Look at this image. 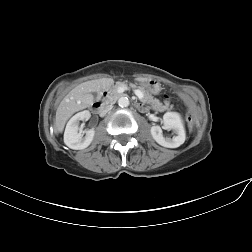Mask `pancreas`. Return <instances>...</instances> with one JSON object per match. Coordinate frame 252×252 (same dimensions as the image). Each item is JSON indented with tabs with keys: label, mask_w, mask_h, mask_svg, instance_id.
Segmentation results:
<instances>
[{
	"label": "pancreas",
	"mask_w": 252,
	"mask_h": 252,
	"mask_svg": "<svg viewBox=\"0 0 252 252\" xmlns=\"http://www.w3.org/2000/svg\"><path fill=\"white\" fill-rule=\"evenodd\" d=\"M128 86H131L132 88H138L142 93H143V101L151 103V105H155L157 107V111H165V110H171L172 105H170L169 101H165V103H161L158 99H154L148 92H146L143 88L138 86L135 82L128 83ZM118 87L115 88L111 95L112 96H117L118 95Z\"/></svg>",
	"instance_id": "pancreas-1"
}]
</instances>
